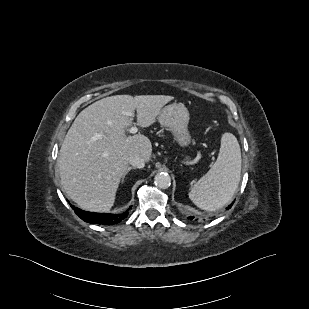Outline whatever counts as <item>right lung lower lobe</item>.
Returning <instances> with one entry per match:
<instances>
[{"label":"right lung lower lobe","mask_w":309,"mask_h":309,"mask_svg":"<svg viewBox=\"0 0 309 309\" xmlns=\"http://www.w3.org/2000/svg\"><path fill=\"white\" fill-rule=\"evenodd\" d=\"M75 213L85 222L93 224L114 225L128 216L129 211L122 214L91 213L75 208L70 204ZM131 208V207H130Z\"/></svg>","instance_id":"obj_1"}]
</instances>
